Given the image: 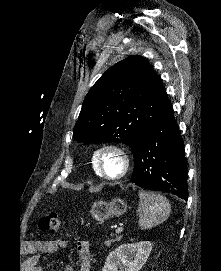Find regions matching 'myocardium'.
Returning a JSON list of instances; mask_svg holds the SVG:
<instances>
[{
	"mask_svg": "<svg viewBox=\"0 0 221 271\" xmlns=\"http://www.w3.org/2000/svg\"><path fill=\"white\" fill-rule=\"evenodd\" d=\"M99 156H95L96 169L100 172L98 175H103L104 178H123L130 170H127V157L124 156L126 150H117V145H101V150H95ZM124 161V162H123ZM106 164H113L118 171L117 173L109 174L102 172L105 170Z\"/></svg>",
	"mask_w": 221,
	"mask_h": 271,
	"instance_id": "1",
	"label": "myocardium"
}]
</instances>
